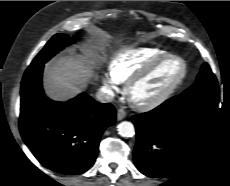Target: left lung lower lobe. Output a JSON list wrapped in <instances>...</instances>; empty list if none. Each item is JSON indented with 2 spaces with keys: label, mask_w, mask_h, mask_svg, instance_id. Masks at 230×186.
I'll return each instance as SVG.
<instances>
[{
  "label": "left lung lower lobe",
  "mask_w": 230,
  "mask_h": 186,
  "mask_svg": "<svg viewBox=\"0 0 230 186\" xmlns=\"http://www.w3.org/2000/svg\"><path fill=\"white\" fill-rule=\"evenodd\" d=\"M218 89L182 93L132 117L134 162L150 177H171L200 150L215 125Z\"/></svg>",
  "instance_id": "left-lung-lower-lobe-1"
}]
</instances>
